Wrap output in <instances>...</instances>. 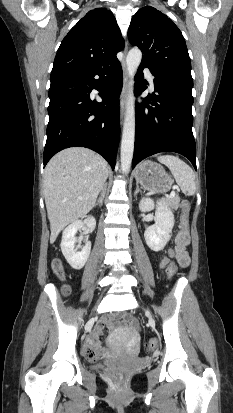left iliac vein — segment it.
Returning a JSON list of instances; mask_svg holds the SVG:
<instances>
[{
	"label": "left iliac vein",
	"instance_id": "1",
	"mask_svg": "<svg viewBox=\"0 0 233 413\" xmlns=\"http://www.w3.org/2000/svg\"><path fill=\"white\" fill-rule=\"evenodd\" d=\"M146 315H147V317H148L150 320H152V315H151V313H150L149 311H146Z\"/></svg>",
	"mask_w": 233,
	"mask_h": 413
}]
</instances>
